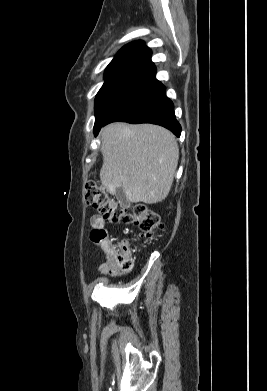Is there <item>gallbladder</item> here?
I'll return each instance as SVG.
<instances>
[{"label":"gallbladder","instance_id":"bac80fb5","mask_svg":"<svg viewBox=\"0 0 267 391\" xmlns=\"http://www.w3.org/2000/svg\"><path fill=\"white\" fill-rule=\"evenodd\" d=\"M115 196L121 203H127L125 192L121 187L117 188Z\"/></svg>","mask_w":267,"mask_h":391}]
</instances>
